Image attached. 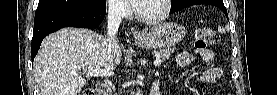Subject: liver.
Here are the masks:
<instances>
[{"mask_svg": "<svg viewBox=\"0 0 277 95\" xmlns=\"http://www.w3.org/2000/svg\"><path fill=\"white\" fill-rule=\"evenodd\" d=\"M121 48L113 62L119 64ZM107 39L88 29L63 28L47 36L34 60V77L41 95H78L86 84L82 73L111 70Z\"/></svg>", "mask_w": 277, "mask_h": 95, "instance_id": "1", "label": "liver"}]
</instances>
